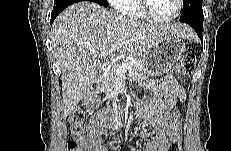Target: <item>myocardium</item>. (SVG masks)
Instances as JSON below:
<instances>
[{
	"label": "myocardium",
	"instance_id": "obj_1",
	"mask_svg": "<svg viewBox=\"0 0 231 151\" xmlns=\"http://www.w3.org/2000/svg\"><path fill=\"white\" fill-rule=\"evenodd\" d=\"M138 9L140 14L143 16L144 19H146L149 22L152 23H159V24H166L174 21L181 13L182 11V6H183V1L182 0H176V11L174 14L167 18H156L152 16L147 7V0H138Z\"/></svg>",
	"mask_w": 231,
	"mask_h": 151
}]
</instances>
